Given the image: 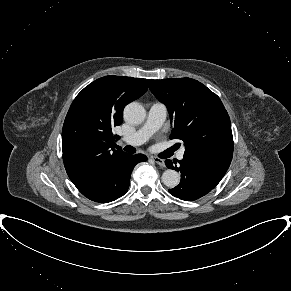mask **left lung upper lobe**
<instances>
[{
    "label": "left lung upper lobe",
    "instance_id": "1",
    "mask_svg": "<svg viewBox=\"0 0 291 291\" xmlns=\"http://www.w3.org/2000/svg\"><path fill=\"white\" fill-rule=\"evenodd\" d=\"M151 92L164 103L173 123L171 139L184 142L185 152H233L229 115L220 98L191 78L155 80Z\"/></svg>",
    "mask_w": 291,
    "mask_h": 291
}]
</instances>
